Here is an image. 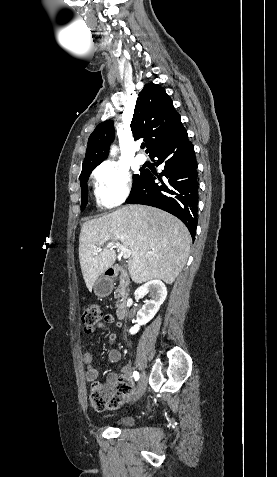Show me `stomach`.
I'll list each match as a JSON object with an SVG mask.
<instances>
[{
  "label": "stomach",
  "instance_id": "1",
  "mask_svg": "<svg viewBox=\"0 0 277 477\" xmlns=\"http://www.w3.org/2000/svg\"><path fill=\"white\" fill-rule=\"evenodd\" d=\"M93 289L97 296L105 297L111 293L113 289V283L109 278L102 276L96 280Z\"/></svg>",
  "mask_w": 277,
  "mask_h": 477
}]
</instances>
